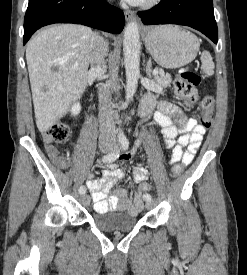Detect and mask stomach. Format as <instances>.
<instances>
[{"instance_id": "stomach-1", "label": "stomach", "mask_w": 247, "mask_h": 275, "mask_svg": "<svg viewBox=\"0 0 247 275\" xmlns=\"http://www.w3.org/2000/svg\"><path fill=\"white\" fill-rule=\"evenodd\" d=\"M144 37L148 52L167 69L187 65L199 50L197 37L177 26L148 27L144 29Z\"/></svg>"}]
</instances>
